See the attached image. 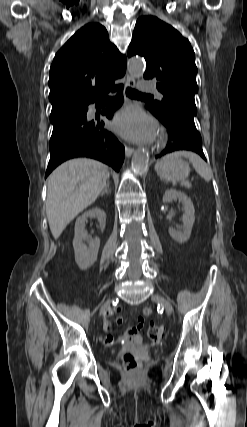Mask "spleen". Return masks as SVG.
I'll return each mask as SVG.
<instances>
[{
    "label": "spleen",
    "instance_id": "obj_1",
    "mask_svg": "<svg viewBox=\"0 0 247 427\" xmlns=\"http://www.w3.org/2000/svg\"><path fill=\"white\" fill-rule=\"evenodd\" d=\"M184 156L188 158L189 162L192 164L197 173L205 180L209 181L212 178L211 168L195 153L189 151H178L163 157L162 162H167L171 159ZM159 166V163L156 164L155 169Z\"/></svg>",
    "mask_w": 247,
    "mask_h": 427
}]
</instances>
